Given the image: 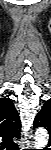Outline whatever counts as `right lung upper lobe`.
<instances>
[{
	"mask_svg": "<svg viewBox=\"0 0 51 150\" xmlns=\"http://www.w3.org/2000/svg\"><path fill=\"white\" fill-rule=\"evenodd\" d=\"M19 114L9 98L0 99V142L4 149H16L13 138H20Z\"/></svg>",
	"mask_w": 51,
	"mask_h": 150,
	"instance_id": "obj_1",
	"label": "right lung upper lobe"
}]
</instances>
